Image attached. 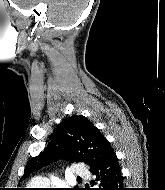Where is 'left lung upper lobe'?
<instances>
[{"instance_id":"1","label":"left lung upper lobe","mask_w":165,"mask_h":190,"mask_svg":"<svg viewBox=\"0 0 165 190\" xmlns=\"http://www.w3.org/2000/svg\"><path fill=\"white\" fill-rule=\"evenodd\" d=\"M113 153L110 143L85 116H72L62 121L42 153L31 159L21 181L42 166L59 160L85 162L90 170ZM77 190V188H74Z\"/></svg>"}]
</instances>
